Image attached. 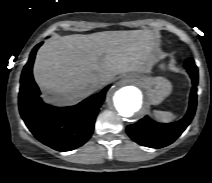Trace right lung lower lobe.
<instances>
[{"mask_svg":"<svg viewBox=\"0 0 212 183\" xmlns=\"http://www.w3.org/2000/svg\"><path fill=\"white\" fill-rule=\"evenodd\" d=\"M41 44L32 50L21 75L20 114L40 142L57 151H70L82 146L90 138L109 87L72 107L59 108L43 103L32 75L35 54Z\"/></svg>","mask_w":212,"mask_h":183,"instance_id":"right-lung-lower-lobe-1","label":"right lung lower lobe"}]
</instances>
